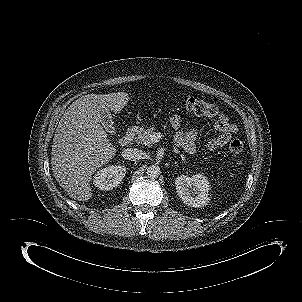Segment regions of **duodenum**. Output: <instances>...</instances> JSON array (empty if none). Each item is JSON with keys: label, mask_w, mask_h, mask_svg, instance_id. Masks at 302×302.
Wrapping results in <instances>:
<instances>
[{"label": "duodenum", "mask_w": 302, "mask_h": 302, "mask_svg": "<svg viewBox=\"0 0 302 302\" xmlns=\"http://www.w3.org/2000/svg\"><path fill=\"white\" fill-rule=\"evenodd\" d=\"M138 131H139V128L137 126L130 127L127 130L126 134L120 140V144L124 146V145H127V144L131 143L132 140L137 135Z\"/></svg>", "instance_id": "obj_1"}]
</instances>
